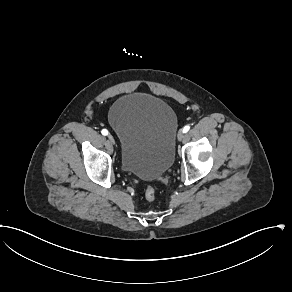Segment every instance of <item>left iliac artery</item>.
I'll use <instances>...</instances> for the list:
<instances>
[{"label": "left iliac artery", "instance_id": "44dca946", "mask_svg": "<svg viewBox=\"0 0 292 292\" xmlns=\"http://www.w3.org/2000/svg\"><path fill=\"white\" fill-rule=\"evenodd\" d=\"M189 129H190V126L189 125H186L184 128H183V132L184 133H186V132H188L189 131Z\"/></svg>", "mask_w": 292, "mask_h": 292}]
</instances>
